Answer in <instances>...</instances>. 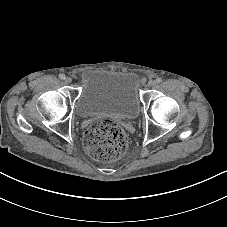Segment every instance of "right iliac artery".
<instances>
[{
    "label": "right iliac artery",
    "instance_id": "right-iliac-artery-1",
    "mask_svg": "<svg viewBox=\"0 0 227 227\" xmlns=\"http://www.w3.org/2000/svg\"><path fill=\"white\" fill-rule=\"evenodd\" d=\"M59 78H60L61 80H64V79H65V75H64V74H59Z\"/></svg>",
    "mask_w": 227,
    "mask_h": 227
}]
</instances>
